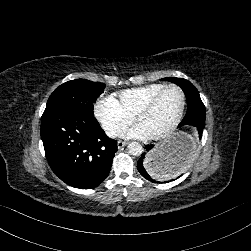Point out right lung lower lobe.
<instances>
[{"label":"right lung lower lobe","instance_id":"obj_1","mask_svg":"<svg viewBox=\"0 0 251 251\" xmlns=\"http://www.w3.org/2000/svg\"><path fill=\"white\" fill-rule=\"evenodd\" d=\"M41 139L52 171L80 189L106 179L117 151V141L106 136L94 115L71 110H45Z\"/></svg>","mask_w":251,"mask_h":251}]
</instances>
